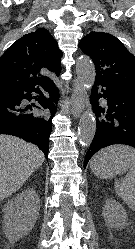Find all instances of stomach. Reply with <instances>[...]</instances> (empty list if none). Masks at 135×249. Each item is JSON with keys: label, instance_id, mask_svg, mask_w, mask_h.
Masks as SVG:
<instances>
[{"label": "stomach", "instance_id": "1", "mask_svg": "<svg viewBox=\"0 0 135 249\" xmlns=\"http://www.w3.org/2000/svg\"><path fill=\"white\" fill-rule=\"evenodd\" d=\"M91 169L100 178H113L123 174L128 169V164L124 160L103 158L92 162Z\"/></svg>", "mask_w": 135, "mask_h": 249}]
</instances>
